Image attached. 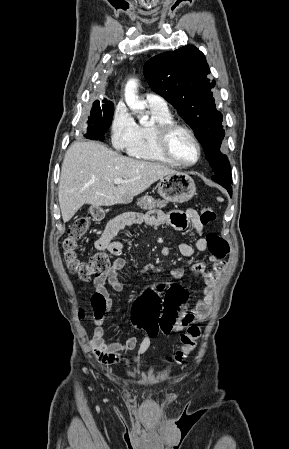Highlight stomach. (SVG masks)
Masks as SVG:
<instances>
[{
	"instance_id": "0dacf381",
	"label": "stomach",
	"mask_w": 289,
	"mask_h": 449,
	"mask_svg": "<svg viewBox=\"0 0 289 449\" xmlns=\"http://www.w3.org/2000/svg\"><path fill=\"white\" fill-rule=\"evenodd\" d=\"M158 193L166 201L184 203L196 194V186L188 174L178 172L160 179Z\"/></svg>"
}]
</instances>
